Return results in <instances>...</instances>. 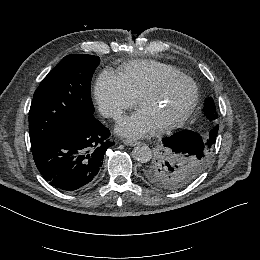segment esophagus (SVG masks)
<instances>
[{"instance_id": "34e87169", "label": "esophagus", "mask_w": 260, "mask_h": 260, "mask_svg": "<svg viewBox=\"0 0 260 260\" xmlns=\"http://www.w3.org/2000/svg\"><path fill=\"white\" fill-rule=\"evenodd\" d=\"M122 142L127 146H136L137 144H139L138 141L132 139H124Z\"/></svg>"}]
</instances>
